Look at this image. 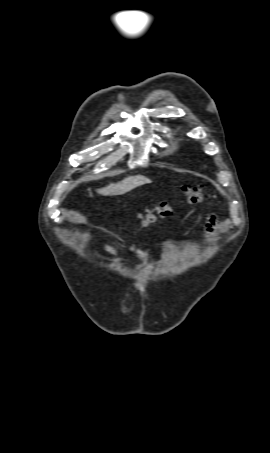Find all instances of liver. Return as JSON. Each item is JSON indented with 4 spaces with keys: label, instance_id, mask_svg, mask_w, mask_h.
Wrapping results in <instances>:
<instances>
[{
    "label": "liver",
    "instance_id": "liver-1",
    "mask_svg": "<svg viewBox=\"0 0 270 453\" xmlns=\"http://www.w3.org/2000/svg\"><path fill=\"white\" fill-rule=\"evenodd\" d=\"M148 183H151V180L145 176H129L120 182L111 183L104 188L98 189L96 192L104 196L122 195Z\"/></svg>",
    "mask_w": 270,
    "mask_h": 453
}]
</instances>
